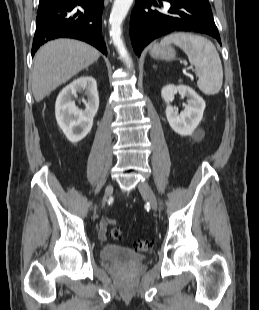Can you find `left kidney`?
Instances as JSON below:
<instances>
[{
  "label": "left kidney",
  "mask_w": 259,
  "mask_h": 310,
  "mask_svg": "<svg viewBox=\"0 0 259 310\" xmlns=\"http://www.w3.org/2000/svg\"><path fill=\"white\" fill-rule=\"evenodd\" d=\"M177 92L188 98V104L180 114H177L170 105ZM161 97L166 103V117L170 127L181 136L193 135L203 118V112L206 106L203 98L191 87L186 85H166L161 90Z\"/></svg>",
  "instance_id": "left-kidney-1"
}]
</instances>
